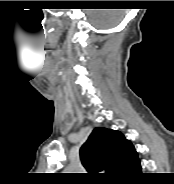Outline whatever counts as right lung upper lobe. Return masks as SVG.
<instances>
[{"label": "right lung upper lobe", "mask_w": 174, "mask_h": 184, "mask_svg": "<svg viewBox=\"0 0 174 184\" xmlns=\"http://www.w3.org/2000/svg\"><path fill=\"white\" fill-rule=\"evenodd\" d=\"M80 158L90 175L97 176L106 170L111 179L117 180L138 157L132 143L121 132L97 127L81 147Z\"/></svg>", "instance_id": "right-lung-upper-lobe-1"}]
</instances>
